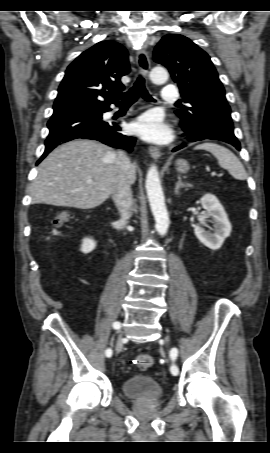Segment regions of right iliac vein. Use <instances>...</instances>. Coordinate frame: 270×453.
<instances>
[{"label": "right iliac vein", "mask_w": 270, "mask_h": 453, "mask_svg": "<svg viewBox=\"0 0 270 453\" xmlns=\"http://www.w3.org/2000/svg\"><path fill=\"white\" fill-rule=\"evenodd\" d=\"M122 337H119L118 341H117V344H116V353H119L122 349Z\"/></svg>", "instance_id": "obj_1"}]
</instances>
